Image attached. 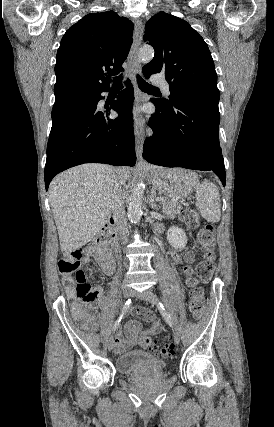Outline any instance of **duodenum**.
I'll return each instance as SVG.
<instances>
[{
	"label": "duodenum",
	"instance_id": "obj_1",
	"mask_svg": "<svg viewBox=\"0 0 274 427\" xmlns=\"http://www.w3.org/2000/svg\"><path fill=\"white\" fill-rule=\"evenodd\" d=\"M105 235L110 239L111 245L115 246L116 244V232H115V222L113 219H110L104 227Z\"/></svg>",
	"mask_w": 274,
	"mask_h": 427
}]
</instances>
